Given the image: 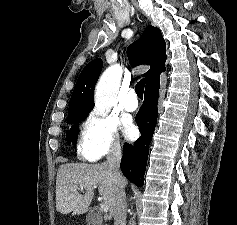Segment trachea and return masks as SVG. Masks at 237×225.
<instances>
[{"mask_svg":"<svg viewBox=\"0 0 237 225\" xmlns=\"http://www.w3.org/2000/svg\"><path fill=\"white\" fill-rule=\"evenodd\" d=\"M145 80L142 79L136 84L135 92L140 99H143Z\"/></svg>","mask_w":237,"mask_h":225,"instance_id":"1","label":"trachea"}]
</instances>
